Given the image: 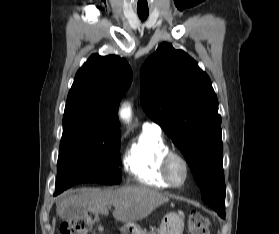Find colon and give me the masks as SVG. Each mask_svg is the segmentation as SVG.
I'll return each mask as SVG.
<instances>
[{
	"label": "colon",
	"instance_id": "obj_1",
	"mask_svg": "<svg viewBox=\"0 0 279 234\" xmlns=\"http://www.w3.org/2000/svg\"><path fill=\"white\" fill-rule=\"evenodd\" d=\"M98 221L99 217L95 212H86L84 215L65 223L61 228V234H88ZM208 226L207 218L201 213H190L188 218V234H209Z\"/></svg>",
	"mask_w": 279,
	"mask_h": 234
}]
</instances>
